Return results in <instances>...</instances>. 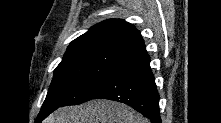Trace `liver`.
Returning a JSON list of instances; mask_svg holds the SVG:
<instances>
[{
	"mask_svg": "<svg viewBox=\"0 0 221 123\" xmlns=\"http://www.w3.org/2000/svg\"><path fill=\"white\" fill-rule=\"evenodd\" d=\"M43 123H148V120L125 104L92 100L79 106L59 108Z\"/></svg>",
	"mask_w": 221,
	"mask_h": 123,
	"instance_id": "obj_1",
	"label": "liver"
}]
</instances>
